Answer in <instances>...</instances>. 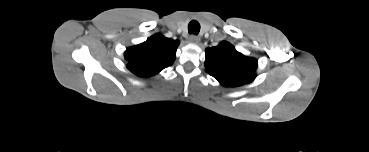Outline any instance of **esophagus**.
<instances>
[{
	"mask_svg": "<svg viewBox=\"0 0 369 152\" xmlns=\"http://www.w3.org/2000/svg\"><path fill=\"white\" fill-rule=\"evenodd\" d=\"M189 42L193 44H198L200 42V38L196 35H191L189 37Z\"/></svg>",
	"mask_w": 369,
	"mask_h": 152,
	"instance_id": "esophagus-1",
	"label": "esophagus"
}]
</instances>
